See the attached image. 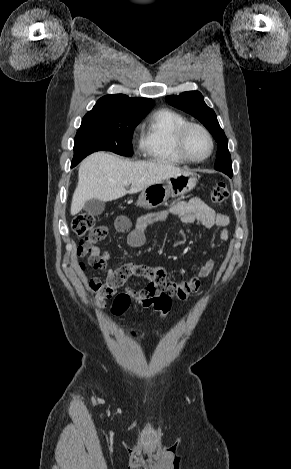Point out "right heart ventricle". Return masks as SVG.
<instances>
[{
	"mask_svg": "<svg viewBox=\"0 0 291 469\" xmlns=\"http://www.w3.org/2000/svg\"><path fill=\"white\" fill-rule=\"evenodd\" d=\"M187 122L182 114L174 110L161 108L154 111L143 124L140 148L144 156L164 164H185L176 148V133Z\"/></svg>",
	"mask_w": 291,
	"mask_h": 469,
	"instance_id": "e07e8e85",
	"label": "right heart ventricle"
}]
</instances>
